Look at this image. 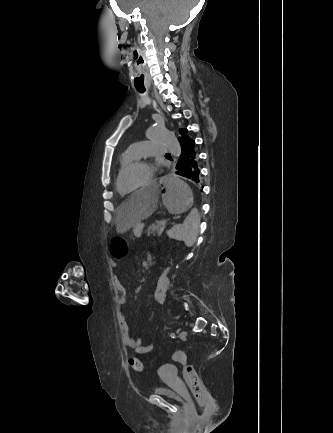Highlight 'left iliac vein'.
<instances>
[{
	"instance_id": "1",
	"label": "left iliac vein",
	"mask_w": 333,
	"mask_h": 433,
	"mask_svg": "<svg viewBox=\"0 0 333 433\" xmlns=\"http://www.w3.org/2000/svg\"><path fill=\"white\" fill-rule=\"evenodd\" d=\"M186 336H187V332H186V331H181V332L179 333V337H180L181 339H185Z\"/></svg>"
}]
</instances>
